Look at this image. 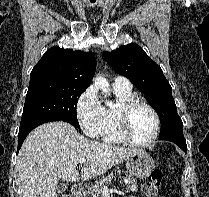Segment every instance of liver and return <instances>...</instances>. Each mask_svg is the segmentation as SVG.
Returning <instances> with one entry per match:
<instances>
[{"mask_svg":"<svg viewBox=\"0 0 209 197\" xmlns=\"http://www.w3.org/2000/svg\"><path fill=\"white\" fill-rule=\"evenodd\" d=\"M137 151L89 140L66 122L42 124L27 136L18 155L23 197H57L59 179L80 180L76 166L82 158L85 163L81 179L88 180L104 174Z\"/></svg>","mask_w":209,"mask_h":197,"instance_id":"1","label":"liver"}]
</instances>
